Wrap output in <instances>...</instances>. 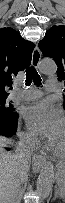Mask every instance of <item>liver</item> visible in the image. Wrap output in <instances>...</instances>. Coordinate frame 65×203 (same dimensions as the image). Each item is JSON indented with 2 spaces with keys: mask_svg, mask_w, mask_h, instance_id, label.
Returning a JSON list of instances; mask_svg holds the SVG:
<instances>
[{
  "mask_svg": "<svg viewBox=\"0 0 65 203\" xmlns=\"http://www.w3.org/2000/svg\"><path fill=\"white\" fill-rule=\"evenodd\" d=\"M10 143V139L0 138L1 147ZM18 166L15 154L7 152L4 149L0 150V198L1 196L8 198L11 194L13 183L19 179Z\"/></svg>",
  "mask_w": 65,
  "mask_h": 203,
  "instance_id": "6515ba94",
  "label": "liver"
}]
</instances>
